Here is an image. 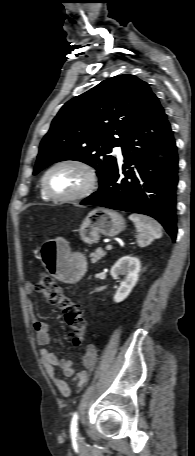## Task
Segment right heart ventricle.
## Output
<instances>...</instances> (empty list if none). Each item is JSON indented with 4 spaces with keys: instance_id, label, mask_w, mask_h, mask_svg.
<instances>
[{
    "instance_id": "right-heart-ventricle-1",
    "label": "right heart ventricle",
    "mask_w": 195,
    "mask_h": 456,
    "mask_svg": "<svg viewBox=\"0 0 195 456\" xmlns=\"http://www.w3.org/2000/svg\"><path fill=\"white\" fill-rule=\"evenodd\" d=\"M40 193H41V197H42V199H44V200H48V198H47V197L45 196V194L43 193V191H42V188H41V191H40Z\"/></svg>"
}]
</instances>
